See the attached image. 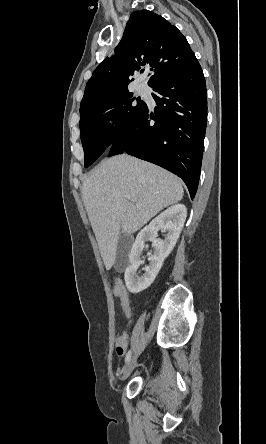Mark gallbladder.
Masks as SVG:
<instances>
[{"label": "gallbladder", "instance_id": "obj_1", "mask_svg": "<svg viewBox=\"0 0 266 444\" xmlns=\"http://www.w3.org/2000/svg\"><path fill=\"white\" fill-rule=\"evenodd\" d=\"M129 248L130 236L125 233H121L118 238L116 259L114 264V268L116 271L121 272L124 270L127 264Z\"/></svg>", "mask_w": 266, "mask_h": 444}]
</instances>
